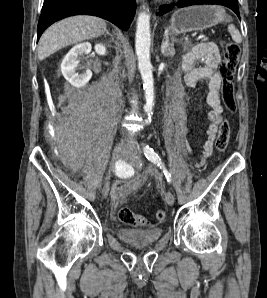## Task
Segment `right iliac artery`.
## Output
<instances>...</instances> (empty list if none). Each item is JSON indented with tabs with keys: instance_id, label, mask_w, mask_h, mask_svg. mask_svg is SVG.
<instances>
[{
	"instance_id": "82829eb1",
	"label": "right iliac artery",
	"mask_w": 267,
	"mask_h": 298,
	"mask_svg": "<svg viewBox=\"0 0 267 298\" xmlns=\"http://www.w3.org/2000/svg\"><path fill=\"white\" fill-rule=\"evenodd\" d=\"M116 167H121L122 168V162L121 161H117L116 162Z\"/></svg>"
}]
</instances>
